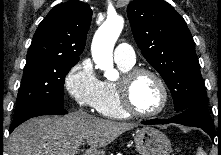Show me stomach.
Segmentation results:
<instances>
[{
    "label": "stomach",
    "instance_id": "obj_1",
    "mask_svg": "<svg viewBox=\"0 0 221 155\" xmlns=\"http://www.w3.org/2000/svg\"><path fill=\"white\" fill-rule=\"evenodd\" d=\"M134 140L139 155H170L172 152L168 137L152 127L137 130Z\"/></svg>",
    "mask_w": 221,
    "mask_h": 155
}]
</instances>
